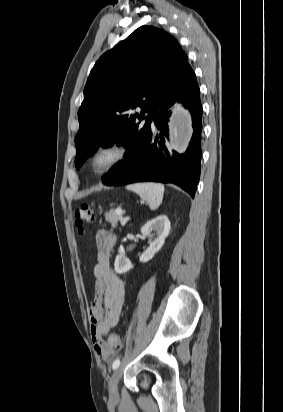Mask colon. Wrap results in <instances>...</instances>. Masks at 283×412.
Returning a JSON list of instances; mask_svg holds the SVG:
<instances>
[{"mask_svg":"<svg viewBox=\"0 0 283 412\" xmlns=\"http://www.w3.org/2000/svg\"><path fill=\"white\" fill-rule=\"evenodd\" d=\"M74 218L78 231L81 235L85 232V226L91 225L95 221V212L92 206L88 204L79 205L74 211ZM121 346L120 337L117 334H111L102 342V350L108 351L119 349Z\"/></svg>","mask_w":283,"mask_h":412,"instance_id":"1","label":"colon"}]
</instances>
